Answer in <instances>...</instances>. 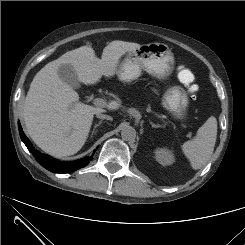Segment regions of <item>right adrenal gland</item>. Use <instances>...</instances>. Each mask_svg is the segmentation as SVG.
<instances>
[{
  "label": "right adrenal gland",
  "instance_id": "obj_1",
  "mask_svg": "<svg viewBox=\"0 0 245 245\" xmlns=\"http://www.w3.org/2000/svg\"><path fill=\"white\" fill-rule=\"evenodd\" d=\"M102 124V121H99L97 124H95V126H94V128H93V131H92V133H91V138H92V136H93V134L95 133V129L98 127V126H100Z\"/></svg>",
  "mask_w": 245,
  "mask_h": 245
}]
</instances>
